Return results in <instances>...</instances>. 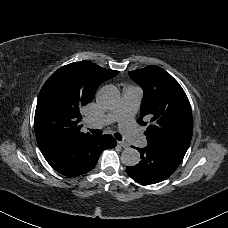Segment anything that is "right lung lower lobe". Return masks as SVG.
<instances>
[{"instance_id": "1", "label": "right lung lower lobe", "mask_w": 228, "mask_h": 228, "mask_svg": "<svg viewBox=\"0 0 228 228\" xmlns=\"http://www.w3.org/2000/svg\"><path fill=\"white\" fill-rule=\"evenodd\" d=\"M116 145V140L111 135H91L66 143L44 154V157L57 172L65 176H76L93 169L100 153Z\"/></svg>"}]
</instances>
